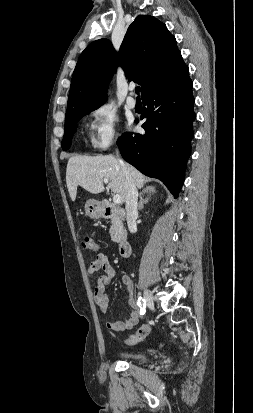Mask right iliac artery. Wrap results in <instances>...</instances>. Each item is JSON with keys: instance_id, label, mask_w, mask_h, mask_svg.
<instances>
[{"instance_id": "obj_1", "label": "right iliac artery", "mask_w": 253, "mask_h": 413, "mask_svg": "<svg viewBox=\"0 0 253 413\" xmlns=\"http://www.w3.org/2000/svg\"><path fill=\"white\" fill-rule=\"evenodd\" d=\"M137 304L140 307V314L143 315L145 313V307H146L145 299L142 297H139Z\"/></svg>"}]
</instances>
